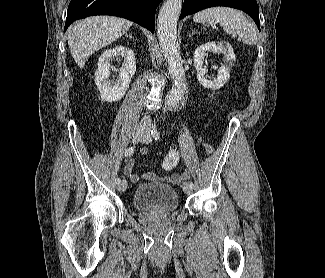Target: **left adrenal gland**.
Masks as SVG:
<instances>
[{"label":"left adrenal gland","instance_id":"a2214340","mask_svg":"<svg viewBox=\"0 0 325 278\" xmlns=\"http://www.w3.org/2000/svg\"><path fill=\"white\" fill-rule=\"evenodd\" d=\"M197 33H199V32L194 29L192 32V35L197 34Z\"/></svg>","mask_w":325,"mask_h":278}]
</instances>
